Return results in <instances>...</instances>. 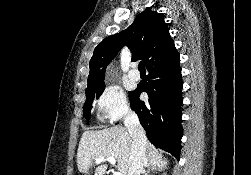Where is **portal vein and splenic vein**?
Instances as JSON below:
<instances>
[{
    "label": "portal vein and splenic vein",
    "mask_w": 251,
    "mask_h": 175,
    "mask_svg": "<svg viewBox=\"0 0 251 175\" xmlns=\"http://www.w3.org/2000/svg\"><path fill=\"white\" fill-rule=\"evenodd\" d=\"M96 163H101V161H110L111 165H115V157H95ZM113 175H123L121 171H114Z\"/></svg>",
    "instance_id": "1"
}]
</instances>
